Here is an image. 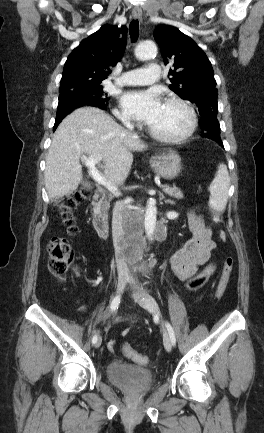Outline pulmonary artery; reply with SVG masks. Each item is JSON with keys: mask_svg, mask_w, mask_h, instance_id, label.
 <instances>
[{"mask_svg": "<svg viewBox=\"0 0 264 433\" xmlns=\"http://www.w3.org/2000/svg\"><path fill=\"white\" fill-rule=\"evenodd\" d=\"M161 68L156 63L149 64L146 68H138L126 71L120 78V83L126 86L149 85L160 79Z\"/></svg>", "mask_w": 264, "mask_h": 433, "instance_id": "1", "label": "pulmonary artery"}]
</instances>
